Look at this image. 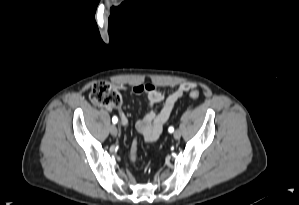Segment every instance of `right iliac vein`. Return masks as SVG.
<instances>
[{
    "mask_svg": "<svg viewBox=\"0 0 299 205\" xmlns=\"http://www.w3.org/2000/svg\"><path fill=\"white\" fill-rule=\"evenodd\" d=\"M110 133H111L112 136H116L118 134V129L115 125H111Z\"/></svg>",
    "mask_w": 299,
    "mask_h": 205,
    "instance_id": "63e3f726",
    "label": "right iliac vein"
}]
</instances>
